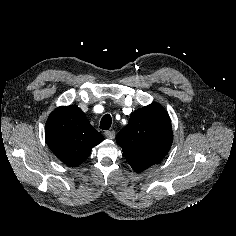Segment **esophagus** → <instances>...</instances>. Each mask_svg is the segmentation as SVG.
<instances>
[{"instance_id": "1", "label": "esophagus", "mask_w": 236, "mask_h": 236, "mask_svg": "<svg viewBox=\"0 0 236 236\" xmlns=\"http://www.w3.org/2000/svg\"><path fill=\"white\" fill-rule=\"evenodd\" d=\"M105 136L108 139H114L115 138V131L114 130L106 131L105 132Z\"/></svg>"}]
</instances>
